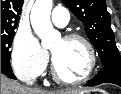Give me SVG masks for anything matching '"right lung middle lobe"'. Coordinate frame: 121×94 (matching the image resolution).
Returning <instances> with one entry per match:
<instances>
[{
  "mask_svg": "<svg viewBox=\"0 0 121 94\" xmlns=\"http://www.w3.org/2000/svg\"><path fill=\"white\" fill-rule=\"evenodd\" d=\"M15 32H1V64L10 65L11 51L9 48L12 45Z\"/></svg>",
  "mask_w": 121,
  "mask_h": 94,
  "instance_id": "dd1d6c3e",
  "label": "right lung middle lobe"
}]
</instances>
